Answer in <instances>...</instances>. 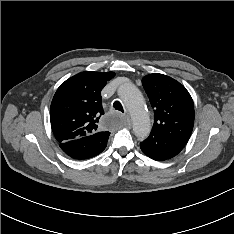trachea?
<instances>
[{
  "label": "trachea",
  "mask_w": 234,
  "mask_h": 234,
  "mask_svg": "<svg viewBox=\"0 0 234 234\" xmlns=\"http://www.w3.org/2000/svg\"><path fill=\"white\" fill-rule=\"evenodd\" d=\"M113 107L115 110L121 111L122 113L124 112L123 106L121 105L119 101H115L113 103Z\"/></svg>",
  "instance_id": "3493384b"
}]
</instances>
